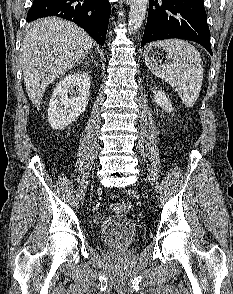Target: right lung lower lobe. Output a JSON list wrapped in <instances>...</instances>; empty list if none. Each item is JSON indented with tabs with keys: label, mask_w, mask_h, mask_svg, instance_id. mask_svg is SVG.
Here are the masks:
<instances>
[{
	"label": "right lung lower lobe",
	"mask_w": 233,
	"mask_h": 294,
	"mask_svg": "<svg viewBox=\"0 0 233 294\" xmlns=\"http://www.w3.org/2000/svg\"><path fill=\"white\" fill-rule=\"evenodd\" d=\"M110 11L108 0H34L27 14V22L56 15L78 24L102 46Z\"/></svg>",
	"instance_id": "98d812e1"
}]
</instances>
